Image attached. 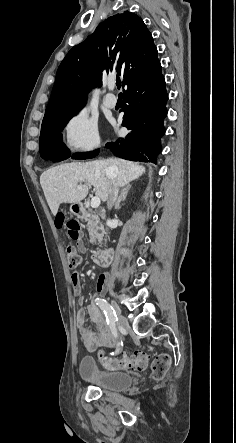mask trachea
<instances>
[{
	"instance_id": "trachea-1",
	"label": "trachea",
	"mask_w": 236,
	"mask_h": 443,
	"mask_svg": "<svg viewBox=\"0 0 236 443\" xmlns=\"http://www.w3.org/2000/svg\"><path fill=\"white\" fill-rule=\"evenodd\" d=\"M116 85H117V88L120 89V87H121V82H117ZM120 95H121V94H120Z\"/></svg>"
}]
</instances>
